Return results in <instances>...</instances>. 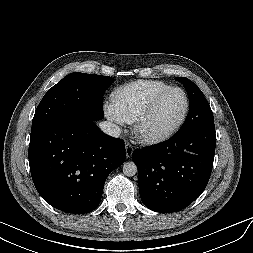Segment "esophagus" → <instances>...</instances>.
Returning a JSON list of instances; mask_svg holds the SVG:
<instances>
[{"label": "esophagus", "mask_w": 253, "mask_h": 253, "mask_svg": "<svg viewBox=\"0 0 253 253\" xmlns=\"http://www.w3.org/2000/svg\"><path fill=\"white\" fill-rule=\"evenodd\" d=\"M134 148L131 144L127 143L125 145V153H126V158H130L133 154Z\"/></svg>", "instance_id": "34e87169"}]
</instances>
